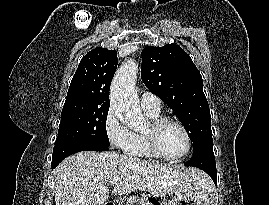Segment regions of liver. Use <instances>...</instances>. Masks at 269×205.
I'll return each mask as SVG.
<instances>
[{"label": "liver", "instance_id": "liver-1", "mask_svg": "<svg viewBox=\"0 0 269 205\" xmlns=\"http://www.w3.org/2000/svg\"><path fill=\"white\" fill-rule=\"evenodd\" d=\"M114 195L137 189L156 195L178 194L195 188L206 190L209 178L197 169L143 161L116 152L84 151L63 160L54 171L56 205H104L109 181Z\"/></svg>", "mask_w": 269, "mask_h": 205}]
</instances>
